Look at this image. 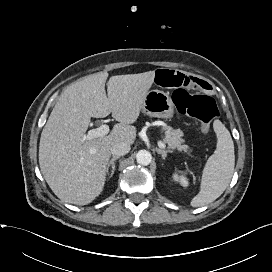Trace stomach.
<instances>
[{"label": "stomach", "instance_id": "0dacf381", "mask_svg": "<svg viewBox=\"0 0 272 272\" xmlns=\"http://www.w3.org/2000/svg\"><path fill=\"white\" fill-rule=\"evenodd\" d=\"M142 111L151 117L171 118L174 114V104L169 94L160 90L147 92Z\"/></svg>", "mask_w": 272, "mask_h": 272}]
</instances>
